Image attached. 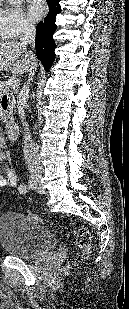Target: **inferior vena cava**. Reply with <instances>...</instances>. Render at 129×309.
<instances>
[{"instance_id":"1","label":"inferior vena cava","mask_w":129,"mask_h":309,"mask_svg":"<svg viewBox=\"0 0 129 309\" xmlns=\"http://www.w3.org/2000/svg\"><path fill=\"white\" fill-rule=\"evenodd\" d=\"M19 43L23 47H26L29 44L32 46V49L35 46V26L32 23L28 21L23 23L22 28H21V35H20ZM29 55L33 61L37 60L33 51H30ZM35 64L37 67V62ZM32 70L29 73L28 80L24 83L22 89L20 90L17 96L18 113L22 121H24L25 119L24 109H25V106L27 105V101L29 98V84L33 80V76H34V71ZM27 159L33 163V166L35 168L39 169L40 166L38 163V150L33 143L30 144V147L27 151Z\"/></svg>"}]
</instances>
